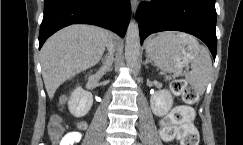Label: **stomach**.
Segmentation results:
<instances>
[{"instance_id": "0dacf381", "label": "stomach", "mask_w": 243, "mask_h": 145, "mask_svg": "<svg viewBox=\"0 0 243 145\" xmlns=\"http://www.w3.org/2000/svg\"><path fill=\"white\" fill-rule=\"evenodd\" d=\"M146 53L163 71L177 72L198 55V43L184 33L164 32L147 41Z\"/></svg>"}]
</instances>
